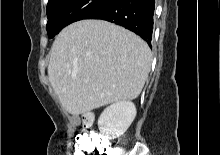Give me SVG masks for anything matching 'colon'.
Listing matches in <instances>:
<instances>
[{
    "label": "colon",
    "instance_id": "1",
    "mask_svg": "<svg viewBox=\"0 0 220 155\" xmlns=\"http://www.w3.org/2000/svg\"><path fill=\"white\" fill-rule=\"evenodd\" d=\"M74 146L76 155H111L113 149L109 143L101 141V139L96 142V139L91 135L78 137Z\"/></svg>",
    "mask_w": 220,
    "mask_h": 155
}]
</instances>
